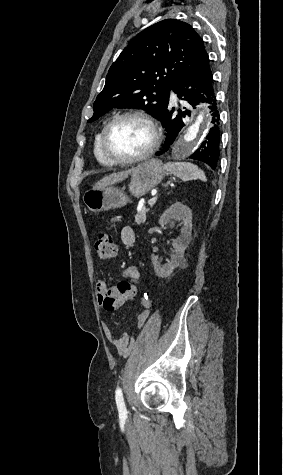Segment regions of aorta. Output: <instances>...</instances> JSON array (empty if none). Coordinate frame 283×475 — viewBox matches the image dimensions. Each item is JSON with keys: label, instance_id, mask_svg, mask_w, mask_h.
Segmentation results:
<instances>
[{"label": "aorta", "instance_id": "762f6f07", "mask_svg": "<svg viewBox=\"0 0 283 475\" xmlns=\"http://www.w3.org/2000/svg\"><path fill=\"white\" fill-rule=\"evenodd\" d=\"M211 116L202 110L187 128L178 136L175 143L171 147V155L183 158L190 155L200 147L206 133L210 128Z\"/></svg>", "mask_w": 283, "mask_h": 475}]
</instances>
